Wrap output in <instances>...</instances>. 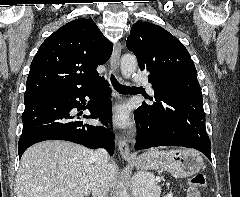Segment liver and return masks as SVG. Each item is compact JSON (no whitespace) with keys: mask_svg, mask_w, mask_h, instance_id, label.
<instances>
[{"mask_svg":"<svg viewBox=\"0 0 240 197\" xmlns=\"http://www.w3.org/2000/svg\"><path fill=\"white\" fill-rule=\"evenodd\" d=\"M92 153L82 145L61 140L31 146L20 161L16 176L17 197L88 196L96 174ZM116 174L115 165L108 163L109 187L114 185Z\"/></svg>","mask_w":240,"mask_h":197,"instance_id":"liver-1","label":"liver"}]
</instances>
